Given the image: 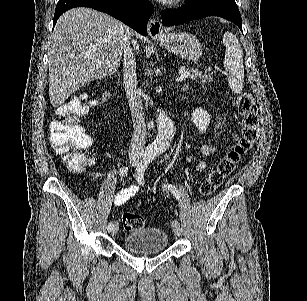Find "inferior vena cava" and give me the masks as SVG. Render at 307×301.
Returning a JSON list of instances; mask_svg holds the SVG:
<instances>
[{"instance_id": "1", "label": "inferior vena cava", "mask_w": 307, "mask_h": 301, "mask_svg": "<svg viewBox=\"0 0 307 301\" xmlns=\"http://www.w3.org/2000/svg\"><path fill=\"white\" fill-rule=\"evenodd\" d=\"M123 52L124 86L133 120V132L128 153L129 157H135V155L138 157V155H143L146 144L145 118L142 98L138 94L137 88L136 62L130 44L124 46Z\"/></svg>"}]
</instances>
